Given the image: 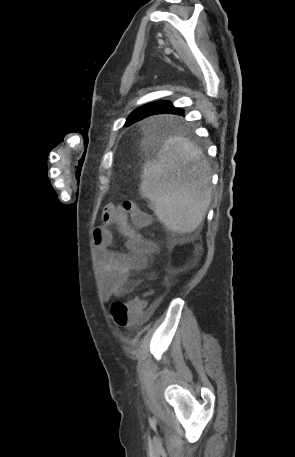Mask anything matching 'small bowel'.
<instances>
[{"instance_id": "c3829d8e", "label": "small bowel", "mask_w": 295, "mask_h": 457, "mask_svg": "<svg viewBox=\"0 0 295 457\" xmlns=\"http://www.w3.org/2000/svg\"><path fill=\"white\" fill-rule=\"evenodd\" d=\"M102 218L104 225L93 232L99 273L107 300L130 292L133 287L132 272L144 270L158 246L135 230L128 221L126 212L120 206L109 203L105 206ZM110 226H115L126 239L127 253L114 251V236Z\"/></svg>"}]
</instances>
